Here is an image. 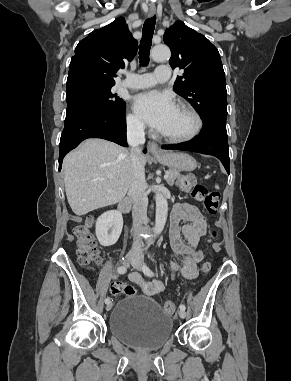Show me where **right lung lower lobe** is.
Listing matches in <instances>:
<instances>
[{"mask_svg":"<svg viewBox=\"0 0 291 381\" xmlns=\"http://www.w3.org/2000/svg\"><path fill=\"white\" fill-rule=\"evenodd\" d=\"M67 112L59 144V170L64 156L87 138H102L126 146L125 110L102 112L81 95L66 97ZM146 152V150H144Z\"/></svg>","mask_w":291,"mask_h":381,"instance_id":"1","label":"right lung lower lobe"}]
</instances>
